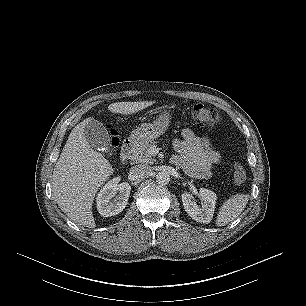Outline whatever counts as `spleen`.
Returning <instances> with one entry per match:
<instances>
[{"label": "spleen", "mask_w": 306, "mask_h": 306, "mask_svg": "<svg viewBox=\"0 0 306 306\" xmlns=\"http://www.w3.org/2000/svg\"><path fill=\"white\" fill-rule=\"evenodd\" d=\"M249 198V194H235L227 199L219 210L216 225L224 226L235 220L245 209Z\"/></svg>", "instance_id": "spleen-1"}]
</instances>
